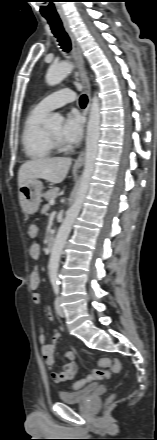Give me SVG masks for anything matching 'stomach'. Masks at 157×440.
Instances as JSON below:
<instances>
[{
    "label": "stomach",
    "mask_w": 157,
    "mask_h": 440,
    "mask_svg": "<svg viewBox=\"0 0 157 440\" xmlns=\"http://www.w3.org/2000/svg\"><path fill=\"white\" fill-rule=\"evenodd\" d=\"M42 187V182L37 179H33L19 187V203L24 213L34 214L38 211L42 201Z\"/></svg>",
    "instance_id": "obj_1"
}]
</instances>
